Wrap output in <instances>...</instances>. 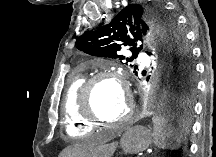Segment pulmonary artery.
<instances>
[{"mask_svg": "<svg viewBox=\"0 0 216 157\" xmlns=\"http://www.w3.org/2000/svg\"><path fill=\"white\" fill-rule=\"evenodd\" d=\"M140 56H141L142 58H145V57H146V54H145V53H141Z\"/></svg>", "mask_w": 216, "mask_h": 157, "instance_id": "e3ab8cb5", "label": "pulmonary artery"}]
</instances>
